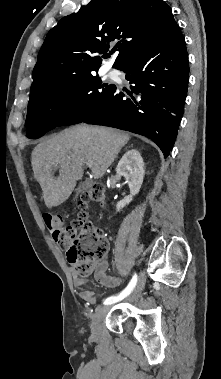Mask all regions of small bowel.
I'll return each instance as SVG.
<instances>
[{"mask_svg":"<svg viewBox=\"0 0 221 379\" xmlns=\"http://www.w3.org/2000/svg\"><path fill=\"white\" fill-rule=\"evenodd\" d=\"M108 269V261L103 258L97 265L94 277L97 282L106 286V287H116L119 285L120 280L115 276H111L107 274ZM74 284L77 287H80L85 284L86 280L82 277H79L77 274H73ZM80 298L90 305H94L97 303V297L94 292L90 289L82 290L79 293Z\"/></svg>","mask_w":221,"mask_h":379,"instance_id":"c3829d8e","label":"small bowel"}]
</instances>
